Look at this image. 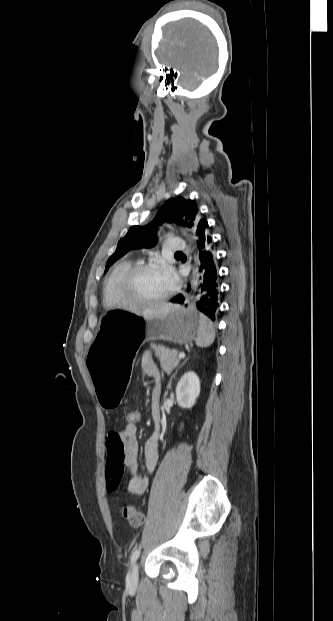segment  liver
<instances>
[{
  "instance_id": "1",
  "label": "liver",
  "mask_w": 333,
  "mask_h": 621,
  "mask_svg": "<svg viewBox=\"0 0 333 621\" xmlns=\"http://www.w3.org/2000/svg\"><path fill=\"white\" fill-rule=\"evenodd\" d=\"M176 305L171 303H160L145 308L142 312H137L136 314L144 317L145 319H152L155 317H159L163 314L171 311Z\"/></svg>"
}]
</instances>
